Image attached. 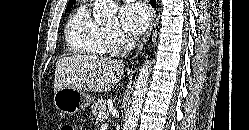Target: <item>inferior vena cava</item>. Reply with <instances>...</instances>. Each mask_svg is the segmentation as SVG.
Returning a JSON list of instances; mask_svg holds the SVG:
<instances>
[{
  "mask_svg": "<svg viewBox=\"0 0 249 130\" xmlns=\"http://www.w3.org/2000/svg\"><path fill=\"white\" fill-rule=\"evenodd\" d=\"M135 47V40L133 38H128L125 40L124 45L122 47V58H126V54L129 53ZM122 63L123 60H120Z\"/></svg>",
  "mask_w": 249,
  "mask_h": 130,
  "instance_id": "obj_1",
  "label": "inferior vena cava"
}]
</instances>
